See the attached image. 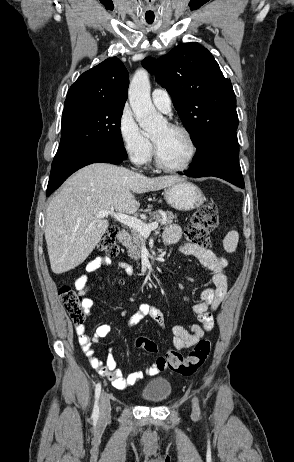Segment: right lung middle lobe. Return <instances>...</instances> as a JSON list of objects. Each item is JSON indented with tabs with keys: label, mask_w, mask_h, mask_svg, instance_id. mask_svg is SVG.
Here are the masks:
<instances>
[{
	"label": "right lung middle lobe",
	"mask_w": 294,
	"mask_h": 462,
	"mask_svg": "<svg viewBox=\"0 0 294 462\" xmlns=\"http://www.w3.org/2000/svg\"><path fill=\"white\" fill-rule=\"evenodd\" d=\"M124 105L99 101H81L65 105L57 153L96 145L124 147L120 132Z\"/></svg>",
	"instance_id": "right-lung-middle-lobe-1"
}]
</instances>
